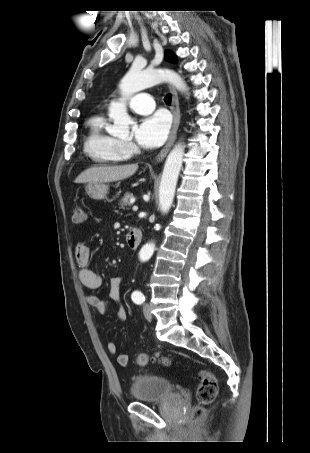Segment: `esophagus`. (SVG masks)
I'll use <instances>...</instances> for the list:
<instances>
[{"label": "esophagus", "mask_w": 310, "mask_h": 453, "mask_svg": "<svg viewBox=\"0 0 310 453\" xmlns=\"http://www.w3.org/2000/svg\"><path fill=\"white\" fill-rule=\"evenodd\" d=\"M170 91L172 93V106L171 110L173 113V124L172 128L170 130L169 138L166 143V145L163 147V149L159 152V154L156 157L157 162H161L173 146L176 135H177V130L180 124V108H179V100H178V95L176 90L174 89L173 86L169 85Z\"/></svg>", "instance_id": "esophagus-1"}]
</instances>
